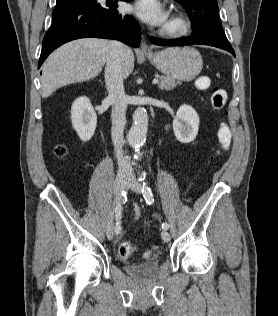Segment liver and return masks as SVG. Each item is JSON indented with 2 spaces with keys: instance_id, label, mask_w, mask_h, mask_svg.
Returning a JSON list of instances; mask_svg holds the SVG:
<instances>
[{
  "instance_id": "obj_1",
  "label": "liver",
  "mask_w": 278,
  "mask_h": 316,
  "mask_svg": "<svg viewBox=\"0 0 278 316\" xmlns=\"http://www.w3.org/2000/svg\"><path fill=\"white\" fill-rule=\"evenodd\" d=\"M111 41L83 38L62 45L43 64L41 76L42 97L50 96L63 86L96 77L106 63ZM134 69V54L127 47L122 63L123 79Z\"/></svg>"
}]
</instances>
